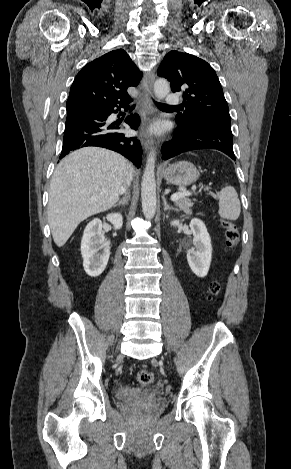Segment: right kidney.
Returning a JSON list of instances; mask_svg holds the SVG:
<instances>
[{
    "label": "right kidney",
    "mask_w": 291,
    "mask_h": 469,
    "mask_svg": "<svg viewBox=\"0 0 291 469\" xmlns=\"http://www.w3.org/2000/svg\"><path fill=\"white\" fill-rule=\"evenodd\" d=\"M107 220L113 224L116 230L122 227L123 219L120 213L107 215ZM81 255L87 275L98 277L102 274L107 266L110 250L102 233V221L98 218L89 222L84 230L81 240Z\"/></svg>",
    "instance_id": "right-kidney-1"
}]
</instances>
